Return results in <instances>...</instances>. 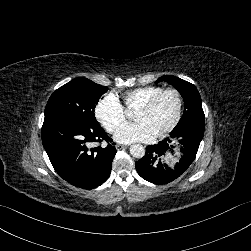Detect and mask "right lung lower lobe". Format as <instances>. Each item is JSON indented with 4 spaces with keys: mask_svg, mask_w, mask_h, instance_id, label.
<instances>
[{
    "mask_svg": "<svg viewBox=\"0 0 251 251\" xmlns=\"http://www.w3.org/2000/svg\"><path fill=\"white\" fill-rule=\"evenodd\" d=\"M111 142L97 121L84 123L65 116H46L42 142L55 171L68 183L93 189L105 182L116 154L114 144L88 150L89 142Z\"/></svg>",
    "mask_w": 251,
    "mask_h": 251,
    "instance_id": "1",
    "label": "right lung lower lobe"
}]
</instances>
